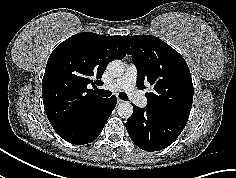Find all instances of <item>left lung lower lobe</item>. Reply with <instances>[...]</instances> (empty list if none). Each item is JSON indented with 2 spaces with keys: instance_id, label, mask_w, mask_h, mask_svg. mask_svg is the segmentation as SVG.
Masks as SVG:
<instances>
[{
  "instance_id": "1",
  "label": "left lung lower lobe",
  "mask_w": 236,
  "mask_h": 178,
  "mask_svg": "<svg viewBox=\"0 0 236 178\" xmlns=\"http://www.w3.org/2000/svg\"><path fill=\"white\" fill-rule=\"evenodd\" d=\"M133 115L126 125L131 140L145 151H159L171 145L184 129L187 120L159 111L141 109L133 104Z\"/></svg>"
}]
</instances>
